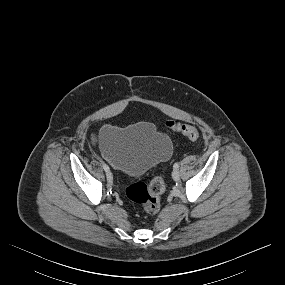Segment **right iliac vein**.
Returning a JSON list of instances; mask_svg holds the SVG:
<instances>
[{"instance_id": "right-iliac-vein-1", "label": "right iliac vein", "mask_w": 285, "mask_h": 285, "mask_svg": "<svg viewBox=\"0 0 285 285\" xmlns=\"http://www.w3.org/2000/svg\"><path fill=\"white\" fill-rule=\"evenodd\" d=\"M106 177L108 181H112L113 180V175L110 171H106Z\"/></svg>"}]
</instances>
